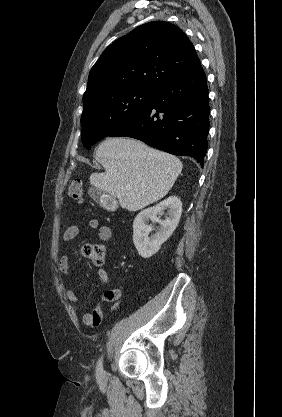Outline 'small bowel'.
<instances>
[{"label":"small bowel","mask_w":282,"mask_h":417,"mask_svg":"<svg viewBox=\"0 0 282 417\" xmlns=\"http://www.w3.org/2000/svg\"><path fill=\"white\" fill-rule=\"evenodd\" d=\"M88 227L91 229H97L98 236L100 237V239L104 241H107L111 239L112 237L111 228L108 226H99V222L96 219L89 220ZM78 233H79V227L75 224L70 225L63 233V241L69 242L73 240L78 235ZM58 267H59L60 272L64 276L70 275L69 260L66 254H62L59 257ZM97 277L99 281L103 284H107L109 282V275L107 271L103 268L97 271ZM65 294H66V297L71 302L78 301V295L72 289L67 288ZM121 297H122V290L120 288H112V289L106 290L101 296L97 307L92 312L85 314L84 323L89 327L97 328L100 324V321L96 319L95 310L96 309L101 310V318H102V304L106 302H115L114 306L112 307V311L115 312L121 305V302H120Z\"/></svg>","instance_id":"small-bowel-1"}]
</instances>
